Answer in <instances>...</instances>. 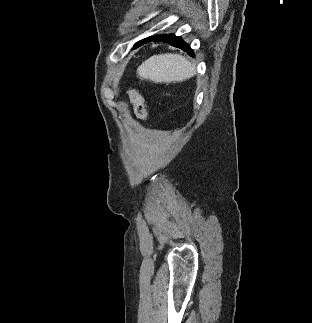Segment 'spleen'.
Instances as JSON below:
<instances>
[{"instance_id":"spleen-1","label":"spleen","mask_w":312,"mask_h":323,"mask_svg":"<svg viewBox=\"0 0 312 323\" xmlns=\"http://www.w3.org/2000/svg\"><path fill=\"white\" fill-rule=\"evenodd\" d=\"M138 74L143 80H151L154 84H171L184 82L195 74V68L184 56L179 54H159L145 60L138 68Z\"/></svg>"}]
</instances>
